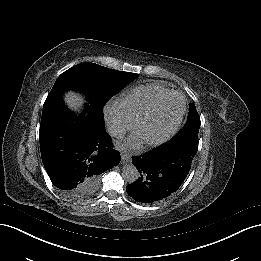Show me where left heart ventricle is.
Here are the masks:
<instances>
[{
  "label": "left heart ventricle",
  "instance_id": "1",
  "mask_svg": "<svg viewBox=\"0 0 261 261\" xmlns=\"http://www.w3.org/2000/svg\"><path fill=\"white\" fill-rule=\"evenodd\" d=\"M181 110L182 100L175 98L164 109L143 118L138 128V135L143 138L162 135L175 124Z\"/></svg>",
  "mask_w": 261,
  "mask_h": 261
}]
</instances>
